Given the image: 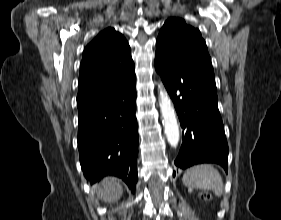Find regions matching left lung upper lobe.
<instances>
[{"mask_svg":"<svg viewBox=\"0 0 281 220\" xmlns=\"http://www.w3.org/2000/svg\"><path fill=\"white\" fill-rule=\"evenodd\" d=\"M155 59L182 60L215 79L211 58L198 29L183 19L169 18L156 40Z\"/></svg>","mask_w":281,"mask_h":220,"instance_id":"5c2ea615","label":"left lung upper lobe"}]
</instances>
